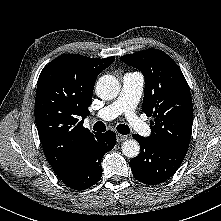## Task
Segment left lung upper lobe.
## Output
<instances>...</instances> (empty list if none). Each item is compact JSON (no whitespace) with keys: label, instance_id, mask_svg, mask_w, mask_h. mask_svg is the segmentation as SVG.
Segmentation results:
<instances>
[{"label":"left lung upper lobe","instance_id":"1","mask_svg":"<svg viewBox=\"0 0 221 221\" xmlns=\"http://www.w3.org/2000/svg\"><path fill=\"white\" fill-rule=\"evenodd\" d=\"M139 69L145 78L142 111L150 117L156 146L187 153L193 124V105L179 66L163 51L147 49L120 58Z\"/></svg>","mask_w":221,"mask_h":221}]
</instances>
